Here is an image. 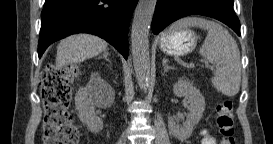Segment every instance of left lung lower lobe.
I'll return each instance as SVG.
<instances>
[{"mask_svg":"<svg viewBox=\"0 0 273 144\" xmlns=\"http://www.w3.org/2000/svg\"><path fill=\"white\" fill-rule=\"evenodd\" d=\"M191 14L220 20L240 36V22L233 9V0H157L152 31L158 34L170 23Z\"/></svg>","mask_w":273,"mask_h":144,"instance_id":"0a47b994","label":"left lung lower lobe"}]
</instances>
